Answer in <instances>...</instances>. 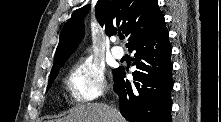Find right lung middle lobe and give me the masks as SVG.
<instances>
[{"label": "right lung middle lobe", "instance_id": "obj_1", "mask_svg": "<svg viewBox=\"0 0 221 122\" xmlns=\"http://www.w3.org/2000/svg\"><path fill=\"white\" fill-rule=\"evenodd\" d=\"M115 72V70H113V73ZM58 71H55L53 73L50 74V79H49V83H48V88L51 86V84L53 83L54 79L57 76Z\"/></svg>", "mask_w": 221, "mask_h": 122}]
</instances>
